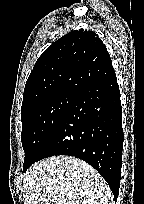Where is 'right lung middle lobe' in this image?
Masks as SVG:
<instances>
[{
  "label": "right lung middle lobe",
  "mask_w": 144,
  "mask_h": 204,
  "mask_svg": "<svg viewBox=\"0 0 144 204\" xmlns=\"http://www.w3.org/2000/svg\"><path fill=\"white\" fill-rule=\"evenodd\" d=\"M74 98L75 94L59 93L21 112L23 125L21 141L25 152L24 172L36 162L42 146Z\"/></svg>",
  "instance_id": "obj_1"
}]
</instances>
